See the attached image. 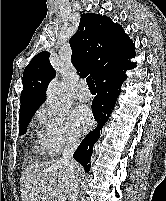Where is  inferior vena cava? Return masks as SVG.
Wrapping results in <instances>:
<instances>
[{"mask_svg": "<svg viewBox=\"0 0 166 201\" xmlns=\"http://www.w3.org/2000/svg\"><path fill=\"white\" fill-rule=\"evenodd\" d=\"M79 143L80 142L78 139H69L63 151L61 160L63 162L68 163L71 167H74L76 164V162L73 159V154L78 148ZM78 194H79V178L77 176H74L72 192L68 198L69 199L68 201H77Z\"/></svg>", "mask_w": 166, "mask_h": 201, "instance_id": "inferior-vena-cava-1", "label": "inferior vena cava"}]
</instances>
